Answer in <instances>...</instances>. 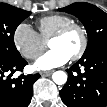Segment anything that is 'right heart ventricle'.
<instances>
[{
	"label": "right heart ventricle",
	"mask_w": 107,
	"mask_h": 107,
	"mask_svg": "<svg viewBox=\"0 0 107 107\" xmlns=\"http://www.w3.org/2000/svg\"><path fill=\"white\" fill-rule=\"evenodd\" d=\"M71 22H74L73 18L65 14L45 16L37 23L38 34L44 42H47L55 32Z\"/></svg>",
	"instance_id": "right-heart-ventricle-1"
}]
</instances>
